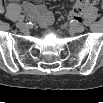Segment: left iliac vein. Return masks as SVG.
Listing matches in <instances>:
<instances>
[{
  "instance_id": "1",
  "label": "left iliac vein",
  "mask_w": 103,
  "mask_h": 103,
  "mask_svg": "<svg viewBox=\"0 0 103 103\" xmlns=\"http://www.w3.org/2000/svg\"><path fill=\"white\" fill-rule=\"evenodd\" d=\"M72 30L77 33H82L85 30L83 25H75L72 27Z\"/></svg>"
}]
</instances>
